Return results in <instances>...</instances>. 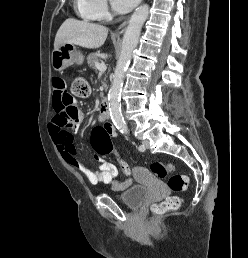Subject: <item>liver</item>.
I'll list each match as a JSON object with an SVG mask.
<instances>
[{"label": "liver", "instance_id": "liver-1", "mask_svg": "<svg viewBox=\"0 0 248 258\" xmlns=\"http://www.w3.org/2000/svg\"><path fill=\"white\" fill-rule=\"evenodd\" d=\"M107 35L108 29L102 25L67 19L56 34L54 50L65 43L79 45L88 49H97L104 44Z\"/></svg>", "mask_w": 248, "mask_h": 258}]
</instances>
